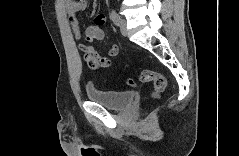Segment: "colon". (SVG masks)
Segmentation results:
<instances>
[{
	"label": "colon",
	"mask_w": 239,
	"mask_h": 156,
	"mask_svg": "<svg viewBox=\"0 0 239 156\" xmlns=\"http://www.w3.org/2000/svg\"><path fill=\"white\" fill-rule=\"evenodd\" d=\"M141 81L151 82L153 84V92H152L153 97H158L166 87V79L164 75L151 70H143L141 72ZM126 84L129 87H134L135 81L130 78L126 81Z\"/></svg>",
	"instance_id": "colon-1"
}]
</instances>
